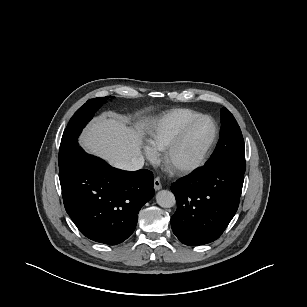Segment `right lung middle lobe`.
I'll return each instance as SVG.
<instances>
[{
    "instance_id": "right-lung-middle-lobe-1",
    "label": "right lung middle lobe",
    "mask_w": 307,
    "mask_h": 307,
    "mask_svg": "<svg viewBox=\"0 0 307 307\" xmlns=\"http://www.w3.org/2000/svg\"><path fill=\"white\" fill-rule=\"evenodd\" d=\"M107 98L108 97L106 96L88 100L72 116L61 139L59 149V166L63 165L73 154V152L79 148L77 141L78 136L85 125L91 120L94 113Z\"/></svg>"
}]
</instances>
